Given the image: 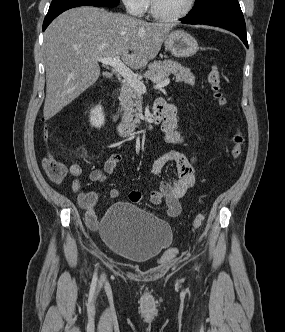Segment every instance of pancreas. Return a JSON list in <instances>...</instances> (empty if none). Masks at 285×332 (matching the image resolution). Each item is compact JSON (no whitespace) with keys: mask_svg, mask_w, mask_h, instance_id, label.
<instances>
[{"mask_svg":"<svg viewBox=\"0 0 285 332\" xmlns=\"http://www.w3.org/2000/svg\"><path fill=\"white\" fill-rule=\"evenodd\" d=\"M170 74L175 75L176 82H184L190 85L195 84V76L190 69L183 67L180 63L173 60H164L149 64L144 77L146 79H164ZM120 104L124 111L125 121L132 127H136L142 117V94L136 91L127 81L123 83L120 91Z\"/></svg>","mask_w":285,"mask_h":332,"instance_id":"obj_1","label":"pancreas"}]
</instances>
